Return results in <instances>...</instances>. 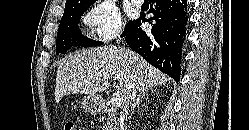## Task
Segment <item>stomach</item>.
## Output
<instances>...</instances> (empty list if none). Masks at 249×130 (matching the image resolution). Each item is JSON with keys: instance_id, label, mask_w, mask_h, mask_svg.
Masks as SVG:
<instances>
[{"instance_id": "1", "label": "stomach", "mask_w": 249, "mask_h": 130, "mask_svg": "<svg viewBox=\"0 0 249 130\" xmlns=\"http://www.w3.org/2000/svg\"><path fill=\"white\" fill-rule=\"evenodd\" d=\"M81 105L86 112L95 114L100 108V101L96 95L95 96L86 95L83 97Z\"/></svg>"}]
</instances>
